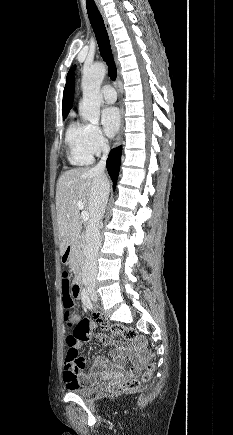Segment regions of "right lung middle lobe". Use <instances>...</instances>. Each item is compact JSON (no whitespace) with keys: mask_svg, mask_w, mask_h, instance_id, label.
I'll use <instances>...</instances> for the list:
<instances>
[{"mask_svg":"<svg viewBox=\"0 0 233 435\" xmlns=\"http://www.w3.org/2000/svg\"><path fill=\"white\" fill-rule=\"evenodd\" d=\"M66 116H67V115H63V119H65V118H66Z\"/></svg>","mask_w":233,"mask_h":435,"instance_id":"obj_1","label":"right lung middle lobe"}]
</instances>
